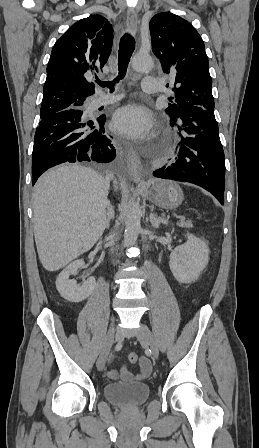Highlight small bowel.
<instances>
[{"instance_id": "obj_1", "label": "small bowel", "mask_w": 259, "mask_h": 448, "mask_svg": "<svg viewBox=\"0 0 259 448\" xmlns=\"http://www.w3.org/2000/svg\"><path fill=\"white\" fill-rule=\"evenodd\" d=\"M139 368L140 372L136 375L128 371L126 368H123L120 373L116 370H109L107 372V376L108 378L113 380L121 377L124 381L127 382L142 381L146 379L151 373L152 365L150 360L147 357H141L139 360Z\"/></svg>"}]
</instances>
